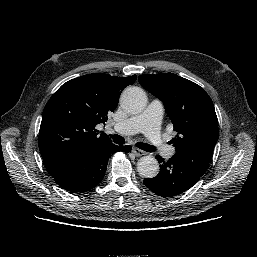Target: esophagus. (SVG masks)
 I'll return each instance as SVG.
<instances>
[{
    "mask_svg": "<svg viewBox=\"0 0 257 257\" xmlns=\"http://www.w3.org/2000/svg\"><path fill=\"white\" fill-rule=\"evenodd\" d=\"M132 152H133L137 157H140V156H142V155L145 154L144 151H142V150H140V149H138V148H135V147L132 149Z\"/></svg>",
    "mask_w": 257,
    "mask_h": 257,
    "instance_id": "1",
    "label": "esophagus"
}]
</instances>
